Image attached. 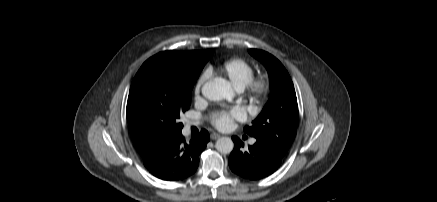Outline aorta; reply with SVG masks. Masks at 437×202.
<instances>
[{
  "instance_id": "obj_1",
  "label": "aorta",
  "mask_w": 437,
  "mask_h": 202,
  "mask_svg": "<svg viewBox=\"0 0 437 202\" xmlns=\"http://www.w3.org/2000/svg\"><path fill=\"white\" fill-rule=\"evenodd\" d=\"M201 91L203 96L211 101L231 100L234 96L230 83L224 79L206 82ZM215 147L220 153L229 154L234 148V143L229 137H221L216 141Z\"/></svg>"
}]
</instances>
